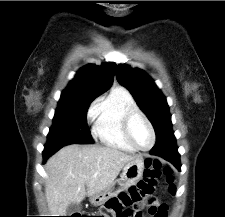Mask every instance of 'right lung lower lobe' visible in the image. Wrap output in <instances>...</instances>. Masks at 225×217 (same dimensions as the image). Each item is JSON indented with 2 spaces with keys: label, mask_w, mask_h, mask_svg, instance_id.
Instances as JSON below:
<instances>
[{
  "label": "right lung lower lobe",
  "mask_w": 225,
  "mask_h": 217,
  "mask_svg": "<svg viewBox=\"0 0 225 217\" xmlns=\"http://www.w3.org/2000/svg\"><path fill=\"white\" fill-rule=\"evenodd\" d=\"M62 146H49L45 145L44 151H43V159L44 162L50 157L52 154H54L56 151H58Z\"/></svg>",
  "instance_id": "1"
}]
</instances>
